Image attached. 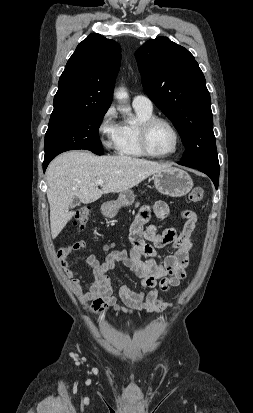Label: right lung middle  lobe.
Here are the masks:
<instances>
[{
	"instance_id": "dd1d6c3e",
	"label": "right lung middle lobe",
	"mask_w": 253,
	"mask_h": 413,
	"mask_svg": "<svg viewBox=\"0 0 253 413\" xmlns=\"http://www.w3.org/2000/svg\"><path fill=\"white\" fill-rule=\"evenodd\" d=\"M107 110L51 116L45 134V158L76 149L103 151L98 129Z\"/></svg>"
}]
</instances>
